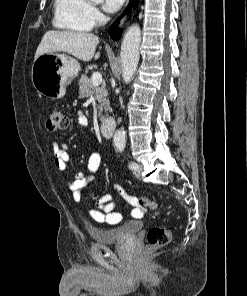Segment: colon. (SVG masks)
<instances>
[{"instance_id": "colon-1", "label": "colon", "mask_w": 247, "mask_h": 296, "mask_svg": "<svg viewBox=\"0 0 247 296\" xmlns=\"http://www.w3.org/2000/svg\"><path fill=\"white\" fill-rule=\"evenodd\" d=\"M67 125L68 120L63 110L60 107H52L49 110L47 119L48 130L52 132L63 130ZM136 203L138 206L153 210L158 208V203L147 197L136 198ZM135 215L137 216L139 213L136 212ZM170 237L171 233L169 229L160 226L152 227L147 233L148 250L154 251L166 246L170 241Z\"/></svg>"}]
</instances>
